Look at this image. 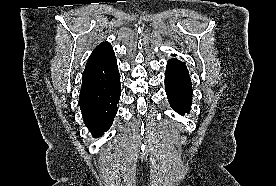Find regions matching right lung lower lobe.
Returning a JSON list of instances; mask_svg holds the SVG:
<instances>
[{"label": "right lung lower lobe", "mask_w": 276, "mask_h": 186, "mask_svg": "<svg viewBox=\"0 0 276 186\" xmlns=\"http://www.w3.org/2000/svg\"><path fill=\"white\" fill-rule=\"evenodd\" d=\"M121 95L120 75L113 79L81 87L79 105L84 123L93 136L99 137L107 132L117 113Z\"/></svg>", "instance_id": "1"}]
</instances>
